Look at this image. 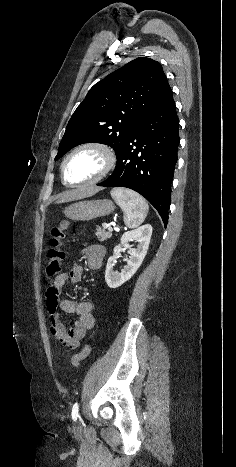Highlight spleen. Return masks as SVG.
I'll list each match as a JSON object with an SVG mask.
<instances>
[{
	"instance_id": "spleen-1",
	"label": "spleen",
	"mask_w": 236,
	"mask_h": 467,
	"mask_svg": "<svg viewBox=\"0 0 236 467\" xmlns=\"http://www.w3.org/2000/svg\"><path fill=\"white\" fill-rule=\"evenodd\" d=\"M111 196L123 210L127 227L136 228L144 222L149 206L142 196L126 188H113Z\"/></svg>"
}]
</instances>
